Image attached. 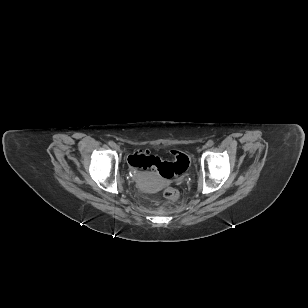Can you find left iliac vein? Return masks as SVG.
Returning a JSON list of instances; mask_svg holds the SVG:
<instances>
[{
  "instance_id": "left-iliac-vein-1",
  "label": "left iliac vein",
  "mask_w": 308,
  "mask_h": 308,
  "mask_svg": "<svg viewBox=\"0 0 308 308\" xmlns=\"http://www.w3.org/2000/svg\"><path fill=\"white\" fill-rule=\"evenodd\" d=\"M205 148H207V145H204V146H203V149H205Z\"/></svg>"
}]
</instances>
